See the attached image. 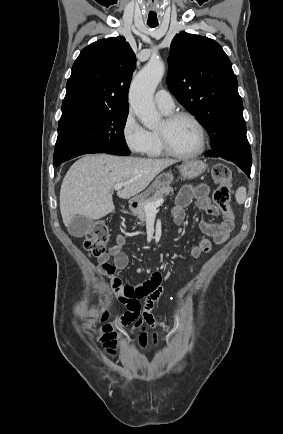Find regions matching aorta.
I'll list each match as a JSON object with an SVG mask.
<instances>
[{"label": "aorta", "mask_w": 283, "mask_h": 434, "mask_svg": "<svg viewBox=\"0 0 283 434\" xmlns=\"http://www.w3.org/2000/svg\"><path fill=\"white\" fill-rule=\"evenodd\" d=\"M165 65L158 58H151L131 83L129 103L136 116L149 129L159 126L161 117L156 110L153 96L164 75Z\"/></svg>", "instance_id": "1"}]
</instances>
